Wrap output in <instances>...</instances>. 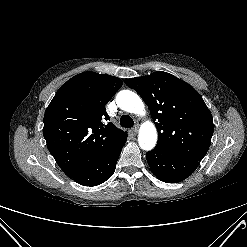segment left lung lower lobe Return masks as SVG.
Instances as JSON below:
<instances>
[{
  "mask_svg": "<svg viewBox=\"0 0 247 247\" xmlns=\"http://www.w3.org/2000/svg\"><path fill=\"white\" fill-rule=\"evenodd\" d=\"M153 174L166 183H177L190 176L199 165L195 159L185 158L155 147L146 154Z\"/></svg>",
  "mask_w": 247,
  "mask_h": 247,
  "instance_id": "left-lung-lower-lobe-1",
  "label": "left lung lower lobe"
}]
</instances>
